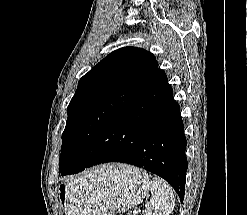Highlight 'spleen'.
Returning <instances> with one entry per match:
<instances>
[{"mask_svg": "<svg viewBox=\"0 0 247 215\" xmlns=\"http://www.w3.org/2000/svg\"><path fill=\"white\" fill-rule=\"evenodd\" d=\"M152 198L145 204V215H169L175 207V196L170 185L160 177L151 181Z\"/></svg>", "mask_w": 247, "mask_h": 215, "instance_id": "3e777b00", "label": "spleen"}]
</instances>
